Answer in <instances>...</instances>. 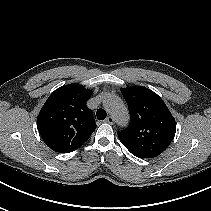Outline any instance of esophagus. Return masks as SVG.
Instances as JSON below:
<instances>
[{"label":"esophagus","instance_id":"34e87169","mask_svg":"<svg viewBox=\"0 0 211 211\" xmlns=\"http://www.w3.org/2000/svg\"><path fill=\"white\" fill-rule=\"evenodd\" d=\"M105 121L111 125L114 124V118L112 116L107 117Z\"/></svg>","mask_w":211,"mask_h":211}]
</instances>
